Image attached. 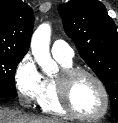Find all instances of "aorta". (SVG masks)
Wrapping results in <instances>:
<instances>
[{"mask_svg":"<svg viewBox=\"0 0 118 123\" xmlns=\"http://www.w3.org/2000/svg\"><path fill=\"white\" fill-rule=\"evenodd\" d=\"M50 38L51 26L44 23L35 30L31 39V50L34 59L46 74L53 73L57 68L56 62L50 55Z\"/></svg>","mask_w":118,"mask_h":123,"instance_id":"obj_1","label":"aorta"}]
</instances>
